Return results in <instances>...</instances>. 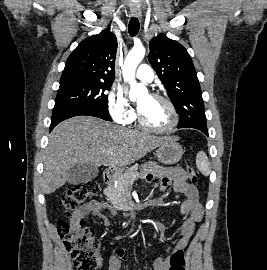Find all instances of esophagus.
I'll return each instance as SVG.
<instances>
[{
  "instance_id": "obj_1",
  "label": "esophagus",
  "mask_w": 267,
  "mask_h": 270,
  "mask_svg": "<svg viewBox=\"0 0 267 270\" xmlns=\"http://www.w3.org/2000/svg\"><path fill=\"white\" fill-rule=\"evenodd\" d=\"M131 15L135 18H140L141 17V11L139 8H132L131 9Z\"/></svg>"
}]
</instances>
